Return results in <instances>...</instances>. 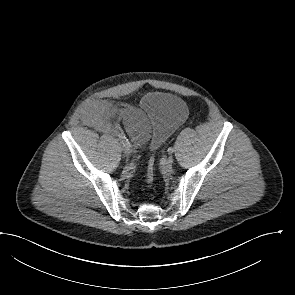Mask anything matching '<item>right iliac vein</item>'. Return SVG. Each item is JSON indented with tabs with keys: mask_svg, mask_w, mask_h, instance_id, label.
<instances>
[{
	"mask_svg": "<svg viewBox=\"0 0 295 295\" xmlns=\"http://www.w3.org/2000/svg\"><path fill=\"white\" fill-rule=\"evenodd\" d=\"M123 150H124V154H125V156H126V157H129L130 154H131V149H130V147H129V146H124V145H123Z\"/></svg>",
	"mask_w": 295,
	"mask_h": 295,
	"instance_id": "right-iliac-vein-1",
	"label": "right iliac vein"
}]
</instances>
